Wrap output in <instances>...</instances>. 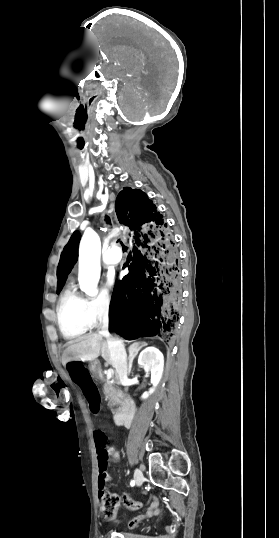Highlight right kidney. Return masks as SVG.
<instances>
[{"label": "right kidney", "mask_w": 279, "mask_h": 538, "mask_svg": "<svg viewBox=\"0 0 279 538\" xmlns=\"http://www.w3.org/2000/svg\"><path fill=\"white\" fill-rule=\"evenodd\" d=\"M138 364L140 368L145 370V372H151V384H153V388H150L149 392L142 396V398H148L150 394H153L162 378L164 356L161 354L160 350H157L154 346H150V348H145V350H142L141 354H139Z\"/></svg>", "instance_id": "obj_1"}]
</instances>
